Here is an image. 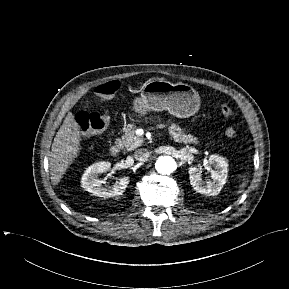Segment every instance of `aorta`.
<instances>
[{"label": "aorta", "instance_id": "aorta-1", "mask_svg": "<svg viewBox=\"0 0 289 289\" xmlns=\"http://www.w3.org/2000/svg\"><path fill=\"white\" fill-rule=\"evenodd\" d=\"M155 168L158 173L166 175L173 173L177 168V164L171 156H160L155 163Z\"/></svg>", "mask_w": 289, "mask_h": 289}]
</instances>
